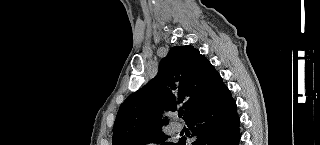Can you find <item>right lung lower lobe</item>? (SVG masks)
Listing matches in <instances>:
<instances>
[{"mask_svg":"<svg viewBox=\"0 0 320 145\" xmlns=\"http://www.w3.org/2000/svg\"><path fill=\"white\" fill-rule=\"evenodd\" d=\"M239 117L236 102L219 76L211 88L206 106L190 117L186 124L196 136L192 145H238ZM187 139L180 138L176 145H186Z\"/></svg>","mask_w":320,"mask_h":145,"instance_id":"98d812e1","label":"right lung lower lobe"}]
</instances>
